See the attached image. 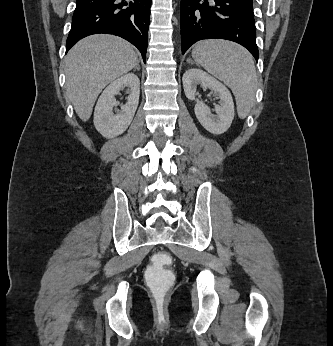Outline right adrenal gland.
Instances as JSON below:
<instances>
[{"label": "right adrenal gland", "mask_w": 333, "mask_h": 346, "mask_svg": "<svg viewBox=\"0 0 333 346\" xmlns=\"http://www.w3.org/2000/svg\"><path fill=\"white\" fill-rule=\"evenodd\" d=\"M140 71V66H139V63L136 64L135 68H134V71Z\"/></svg>", "instance_id": "2a0ac1e0"}]
</instances>
